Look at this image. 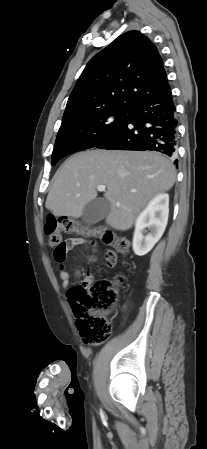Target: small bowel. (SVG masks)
Returning <instances> with one entry per match:
<instances>
[{
    "mask_svg": "<svg viewBox=\"0 0 207 449\" xmlns=\"http://www.w3.org/2000/svg\"><path fill=\"white\" fill-rule=\"evenodd\" d=\"M73 240V243H74V246H76V245H79V244H83L84 243V240L83 239H72ZM106 253H111V255H113V257H114V264L116 263V255H115V253L113 252V251H111V250H107L106 252H105V254ZM89 260L91 261V262H94L96 259H95V257L94 256H90L89 257ZM114 264L113 265H108L109 267H112V266H114ZM59 275H60V279H61V281H62V286L64 287V288H68L69 286H70V273L67 271V269L65 268V266H64V264H62V265H60V270H59ZM75 275L76 276H79V271L78 270H76L75 271ZM91 279H92V275H91V273L89 272L88 274H87V277H86V279H85V281H91Z\"/></svg>",
    "mask_w": 207,
    "mask_h": 449,
    "instance_id": "1",
    "label": "small bowel"
}]
</instances>
